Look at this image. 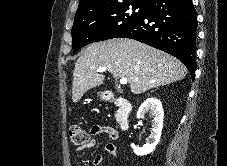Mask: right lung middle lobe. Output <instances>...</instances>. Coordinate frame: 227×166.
I'll list each match as a JSON object with an SVG mask.
<instances>
[{
  "label": "right lung middle lobe",
  "mask_w": 227,
  "mask_h": 166,
  "mask_svg": "<svg viewBox=\"0 0 227 166\" xmlns=\"http://www.w3.org/2000/svg\"><path fill=\"white\" fill-rule=\"evenodd\" d=\"M145 9V5L130 3L76 13L72 28L73 50L77 51L87 44L117 37L139 21Z\"/></svg>",
  "instance_id": "dd1d6c3e"
}]
</instances>
